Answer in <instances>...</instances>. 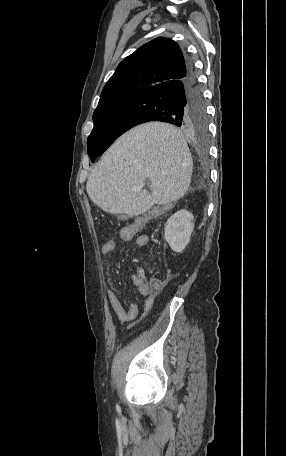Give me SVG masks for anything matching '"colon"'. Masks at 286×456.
<instances>
[{"label":"colon","instance_id":"5ec220e1","mask_svg":"<svg viewBox=\"0 0 286 456\" xmlns=\"http://www.w3.org/2000/svg\"><path fill=\"white\" fill-rule=\"evenodd\" d=\"M142 227H143V222L138 221L128 227H125L123 230H124L125 234L132 236L135 233H137L138 231H140L142 229ZM138 275L143 276L144 273L142 271H140L138 273ZM149 284L153 290L158 291L161 289V287L163 285V281L159 278H151Z\"/></svg>","mask_w":286,"mask_h":456}]
</instances>
